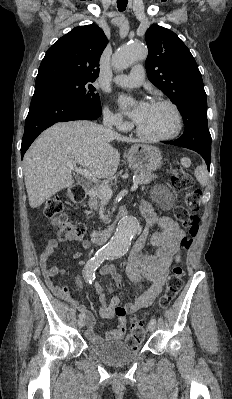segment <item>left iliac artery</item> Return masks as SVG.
Instances as JSON below:
<instances>
[{
    "mask_svg": "<svg viewBox=\"0 0 232 399\" xmlns=\"http://www.w3.org/2000/svg\"><path fill=\"white\" fill-rule=\"evenodd\" d=\"M118 256V254L117 253H110V254H108V258L110 259V260H113L115 257H117ZM150 323L151 324H155L156 323V319L155 318H151L150 319Z\"/></svg>",
    "mask_w": 232,
    "mask_h": 399,
    "instance_id": "1",
    "label": "left iliac artery"
}]
</instances>
